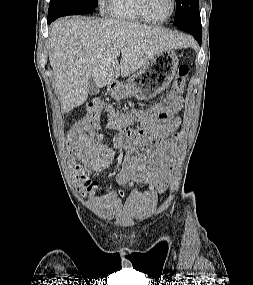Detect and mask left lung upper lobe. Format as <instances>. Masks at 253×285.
Segmentation results:
<instances>
[{
	"mask_svg": "<svg viewBox=\"0 0 253 285\" xmlns=\"http://www.w3.org/2000/svg\"><path fill=\"white\" fill-rule=\"evenodd\" d=\"M177 8L174 25L180 27L200 18L199 0H176Z\"/></svg>",
	"mask_w": 253,
	"mask_h": 285,
	"instance_id": "left-lung-upper-lobe-1",
	"label": "left lung upper lobe"
}]
</instances>
